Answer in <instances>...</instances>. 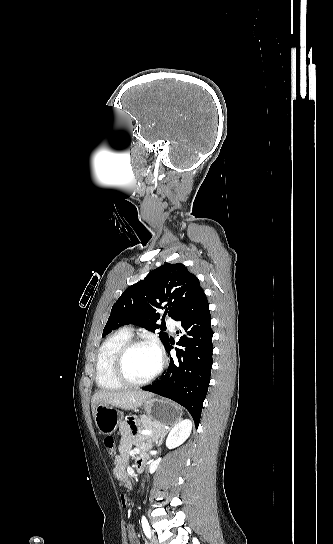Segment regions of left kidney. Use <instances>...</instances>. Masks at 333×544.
<instances>
[{
	"label": "left kidney",
	"mask_w": 333,
	"mask_h": 544,
	"mask_svg": "<svg viewBox=\"0 0 333 544\" xmlns=\"http://www.w3.org/2000/svg\"><path fill=\"white\" fill-rule=\"evenodd\" d=\"M192 430V422L189 419L180 421L174 428L170 431L166 439V447L168 449H173L181 444L190 436Z\"/></svg>",
	"instance_id": "1"
}]
</instances>
